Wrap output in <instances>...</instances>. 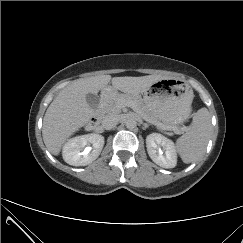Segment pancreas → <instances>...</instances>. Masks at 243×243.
Returning a JSON list of instances; mask_svg holds the SVG:
<instances>
[{"mask_svg": "<svg viewBox=\"0 0 243 243\" xmlns=\"http://www.w3.org/2000/svg\"><path fill=\"white\" fill-rule=\"evenodd\" d=\"M123 105H130L132 108L140 114L143 118L151 119L160 124L163 128L168 125L162 123L158 118L151 114L143 101L139 97H132L129 95H114L111 99L107 100L100 111L103 114H119Z\"/></svg>", "mask_w": 243, "mask_h": 243, "instance_id": "obj_1", "label": "pancreas"}]
</instances>
